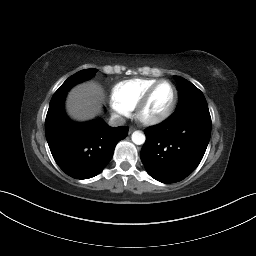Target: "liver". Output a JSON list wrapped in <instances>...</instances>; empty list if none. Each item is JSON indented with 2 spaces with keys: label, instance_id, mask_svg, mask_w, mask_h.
I'll return each mask as SVG.
<instances>
[{
  "label": "liver",
  "instance_id": "6515ba94",
  "mask_svg": "<svg viewBox=\"0 0 256 256\" xmlns=\"http://www.w3.org/2000/svg\"><path fill=\"white\" fill-rule=\"evenodd\" d=\"M104 91L95 82H86L75 86L67 97V112L76 120L85 121L94 118L101 110Z\"/></svg>",
  "mask_w": 256,
  "mask_h": 256
}]
</instances>
